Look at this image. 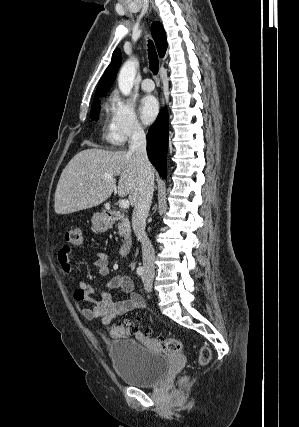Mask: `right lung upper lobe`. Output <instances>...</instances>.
<instances>
[{
  "instance_id": "right-lung-upper-lobe-1",
  "label": "right lung upper lobe",
  "mask_w": 299,
  "mask_h": 427,
  "mask_svg": "<svg viewBox=\"0 0 299 427\" xmlns=\"http://www.w3.org/2000/svg\"><path fill=\"white\" fill-rule=\"evenodd\" d=\"M152 36L155 40L160 57H163L167 49V40L165 31L159 22H155L152 24ZM121 60V52L119 49H116L113 52L110 65L107 67L98 83L95 98L103 96L108 92L115 80L118 68L121 64Z\"/></svg>"
}]
</instances>
